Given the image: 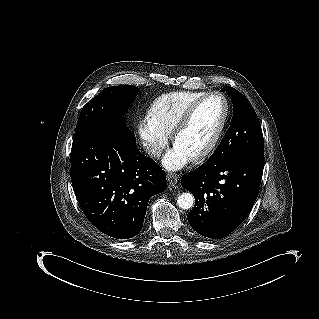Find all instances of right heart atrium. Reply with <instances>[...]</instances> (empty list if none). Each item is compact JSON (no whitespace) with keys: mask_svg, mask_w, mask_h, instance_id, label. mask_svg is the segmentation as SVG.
<instances>
[{"mask_svg":"<svg viewBox=\"0 0 319 319\" xmlns=\"http://www.w3.org/2000/svg\"><path fill=\"white\" fill-rule=\"evenodd\" d=\"M140 135L148 154L152 157L160 156L168 144L167 133L148 122L140 125Z\"/></svg>","mask_w":319,"mask_h":319,"instance_id":"obj_1","label":"right heart atrium"}]
</instances>
